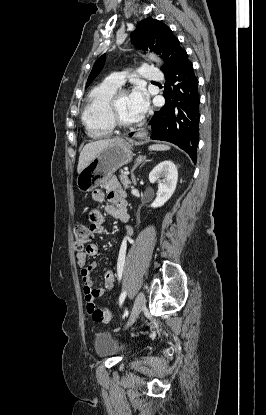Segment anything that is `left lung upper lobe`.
Returning <instances> with one entry per match:
<instances>
[{
  "label": "left lung upper lobe",
  "mask_w": 266,
  "mask_h": 415,
  "mask_svg": "<svg viewBox=\"0 0 266 415\" xmlns=\"http://www.w3.org/2000/svg\"><path fill=\"white\" fill-rule=\"evenodd\" d=\"M132 43L138 49H150L156 54H160L166 65V67H162V70L166 73H170L186 53L171 29L161 21L152 18H147L137 24L136 30L132 34ZM105 58L104 54L95 62L85 88L102 70Z\"/></svg>",
  "instance_id": "1"
}]
</instances>
